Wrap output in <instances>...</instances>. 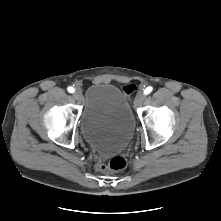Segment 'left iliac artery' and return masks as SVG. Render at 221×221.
<instances>
[{
    "label": "left iliac artery",
    "instance_id": "left-iliac-artery-1",
    "mask_svg": "<svg viewBox=\"0 0 221 221\" xmlns=\"http://www.w3.org/2000/svg\"><path fill=\"white\" fill-rule=\"evenodd\" d=\"M152 87H147L145 90H144V93L147 95V94H149L151 91H152Z\"/></svg>",
    "mask_w": 221,
    "mask_h": 221
}]
</instances>
